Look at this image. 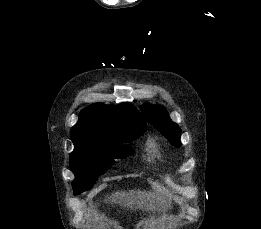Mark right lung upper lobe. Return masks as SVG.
<instances>
[{
	"instance_id": "right-lung-upper-lobe-1",
	"label": "right lung upper lobe",
	"mask_w": 261,
	"mask_h": 229,
	"mask_svg": "<svg viewBox=\"0 0 261 229\" xmlns=\"http://www.w3.org/2000/svg\"><path fill=\"white\" fill-rule=\"evenodd\" d=\"M131 124L146 126V121L132 104H94L81 111L79 121L71 129V140L75 147L88 144L120 145L124 142L116 129Z\"/></svg>"
}]
</instances>
